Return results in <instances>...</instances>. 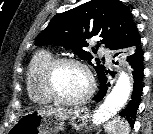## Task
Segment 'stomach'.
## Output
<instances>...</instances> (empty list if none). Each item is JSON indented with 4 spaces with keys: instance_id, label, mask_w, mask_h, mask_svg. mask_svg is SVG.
<instances>
[{
    "instance_id": "0dacf381",
    "label": "stomach",
    "mask_w": 153,
    "mask_h": 134,
    "mask_svg": "<svg viewBox=\"0 0 153 134\" xmlns=\"http://www.w3.org/2000/svg\"><path fill=\"white\" fill-rule=\"evenodd\" d=\"M87 108L61 109L56 112L47 109H36L23 114L12 126V134H57L63 129L65 121L79 130L89 118Z\"/></svg>"
}]
</instances>
